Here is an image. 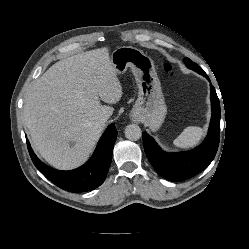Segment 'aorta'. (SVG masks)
Returning <instances> with one entry per match:
<instances>
[{
    "mask_svg": "<svg viewBox=\"0 0 249 249\" xmlns=\"http://www.w3.org/2000/svg\"><path fill=\"white\" fill-rule=\"evenodd\" d=\"M142 131L136 124L127 125L125 128V136L131 141H137L141 138Z\"/></svg>",
    "mask_w": 249,
    "mask_h": 249,
    "instance_id": "aorta-1",
    "label": "aorta"
}]
</instances>
